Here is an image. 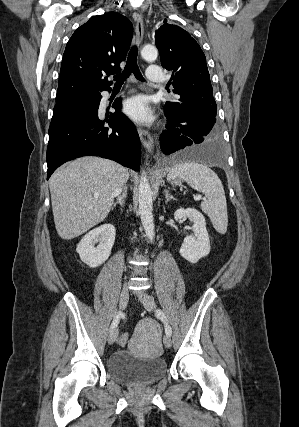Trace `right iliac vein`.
<instances>
[{
    "label": "right iliac vein",
    "instance_id": "right-iliac-vein-1",
    "mask_svg": "<svg viewBox=\"0 0 299 427\" xmlns=\"http://www.w3.org/2000/svg\"><path fill=\"white\" fill-rule=\"evenodd\" d=\"M128 301H129L128 287H127V284H124L119 297L120 310H124L126 308ZM117 337H118V329L115 328L111 331V333L108 336V343L113 344L116 341Z\"/></svg>",
    "mask_w": 299,
    "mask_h": 427
}]
</instances>
